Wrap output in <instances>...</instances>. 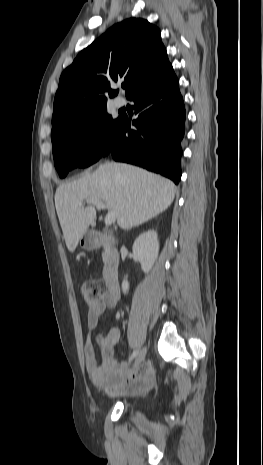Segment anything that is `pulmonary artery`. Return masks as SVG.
<instances>
[{"label": "pulmonary artery", "instance_id": "pulmonary-artery-1", "mask_svg": "<svg viewBox=\"0 0 263 465\" xmlns=\"http://www.w3.org/2000/svg\"><path fill=\"white\" fill-rule=\"evenodd\" d=\"M114 103L117 107H122L125 105V99L122 98V97H116L115 100H114Z\"/></svg>", "mask_w": 263, "mask_h": 465}]
</instances>
